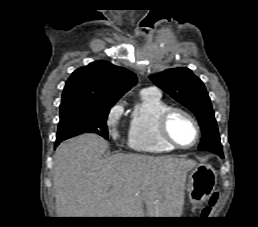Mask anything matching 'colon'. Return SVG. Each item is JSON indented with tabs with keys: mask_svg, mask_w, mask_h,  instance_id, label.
<instances>
[{
	"mask_svg": "<svg viewBox=\"0 0 258 227\" xmlns=\"http://www.w3.org/2000/svg\"><path fill=\"white\" fill-rule=\"evenodd\" d=\"M218 199V193H214L210 198V204H214Z\"/></svg>",
	"mask_w": 258,
	"mask_h": 227,
	"instance_id": "5ec220e1",
	"label": "colon"
}]
</instances>
